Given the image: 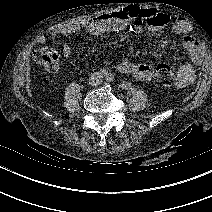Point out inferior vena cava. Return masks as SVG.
Segmentation results:
<instances>
[{"mask_svg": "<svg viewBox=\"0 0 212 212\" xmlns=\"http://www.w3.org/2000/svg\"><path fill=\"white\" fill-rule=\"evenodd\" d=\"M102 82V78L101 76H99L98 74L93 73L90 77H89V84L92 86H97Z\"/></svg>", "mask_w": 212, "mask_h": 212, "instance_id": "602c4592", "label": "inferior vena cava"}]
</instances>
